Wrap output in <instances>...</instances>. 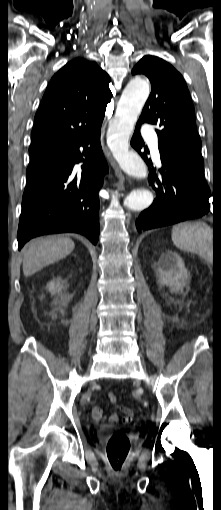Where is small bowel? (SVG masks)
I'll use <instances>...</instances> for the list:
<instances>
[{
    "label": "small bowel",
    "mask_w": 221,
    "mask_h": 510,
    "mask_svg": "<svg viewBox=\"0 0 221 510\" xmlns=\"http://www.w3.org/2000/svg\"><path fill=\"white\" fill-rule=\"evenodd\" d=\"M121 410H123L126 413L129 412V410L125 407H121ZM92 416L94 417V419L103 422L116 423L118 421V417L116 414L106 415L102 407L100 406L93 407Z\"/></svg>",
    "instance_id": "c3829d8e"
}]
</instances>
